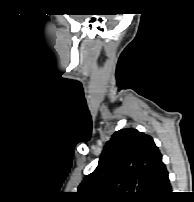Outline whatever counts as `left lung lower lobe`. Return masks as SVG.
Wrapping results in <instances>:
<instances>
[{
	"label": "left lung lower lobe",
	"instance_id": "1",
	"mask_svg": "<svg viewBox=\"0 0 194 202\" xmlns=\"http://www.w3.org/2000/svg\"><path fill=\"white\" fill-rule=\"evenodd\" d=\"M171 194V185L168 178V172L165 167L163 168L162 174L151 200L165 202L169 200Z\"/></svg>",
	"mask_w": 194,
	"mask_h": 202
}]
</instances>
